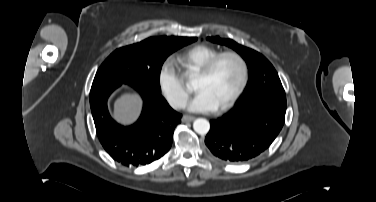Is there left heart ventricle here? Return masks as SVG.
I'll return each mask as SVG.
<instances>
[{"mask_svg":"<svg viewBox=\"0 0 376 202\" xmlns=\"http://www.w3.org/2000/svg\"><path fill=\"white\" fill-rule=\"evenodd\" d=\"M240 79L241 70L237 61L225 57L217 63L211 75L206 78L196 77L195 89L205 90L219 107L232 96Z\"/></svg>","mask_w":376,"mask_h":202,"instance_id":"left-heart-ventricle-1","label":"left heart ventricle"}]
</instances>
